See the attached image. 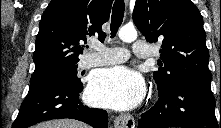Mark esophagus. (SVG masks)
<instances>
[{
  "label": "esophagus",
  "mask_w": 221,
  "mask_h": 128,
  "mask_svg": "<svg viewBox=\"0 0 221 128\" xmlns=\"http://www.w3.org/2000/svg\"><path fill=\"white\" fill-rule=\"evenodd\" d=\"M114 124L117 128H134L135 120L129 113L120 114L115 118Z\"/></svg>",
  "instance_id": "obj_1"
}]
</instances>
